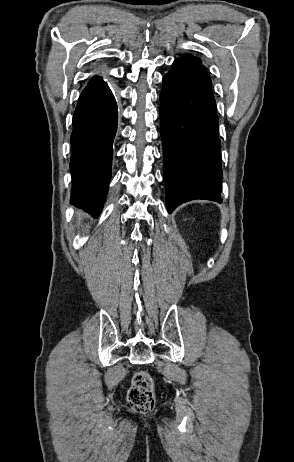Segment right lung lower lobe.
Segmentation results:
<instances>
[{
	"mask_svg": "<svg viewBox=\"0 0 294 462\" xmlns=\"http://www.w3.org/2000/svg\"><path fill=\"white\" fill-rule=\"evenodd\" d=\"M117 120L111 89L100 77L91 79L73 116L70 169L71 202L94 217L100 214L108 190Z\"/></svg>",
	"mask_w": 294,
	"mask_h": 462,
	"instance_id": "right-lung-lower-lobe-1",
	"label": "right lung lower lobe"
}]
</instances>
